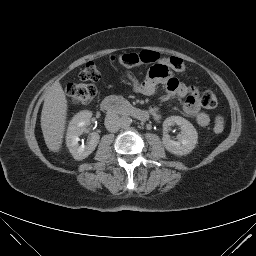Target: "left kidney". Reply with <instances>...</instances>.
<instances>
[{
  "label": "left kidney",
  "instance_id": "5707ae66",
  "mask_svg": "<svg viewBox=\"0 0 256 256\" xmlns=\"http://www.w3.org/2000/svg\"><path fill=\"white\" fill-rule=\"evenodd\" d=\"M177 124L181 129L178 141H174L168 135L170 127ZM163 138L162 142L167 151L172 154L183 156L189 154L196 146L198 133L194 126L186 119L180 116H171L163 122Z\"/></svg>",
  "mask_w": 256,
  "mask_h": 256
}]
</instances>
